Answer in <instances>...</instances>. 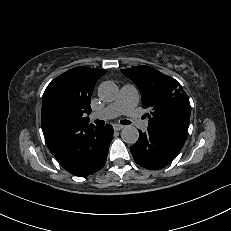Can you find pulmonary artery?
Returning <instances> with one entry per match:
<instances>
[{
    "label": "pulmonary artery",
    "instance_id": "e3ab8cb5",
    "mask_svg": "<svg viewBox=\"0 0 231 231\" xmlns=\"http://www.w3.org/2000/svg\"><path fill=\"white\" fill-rule=\"evenodd\" d=\"M138 103V91L133 85H124L117 96V98L108 104L102 110L92 114L93 119H111L119 115L128 116L135 125L141 129L146 130L148 127V120H142L136 113V106Z\"/></svg>",
    "mask_w": 231,
    "mask_h": 231
}]
</instances>
